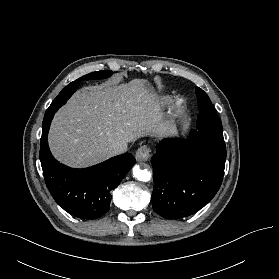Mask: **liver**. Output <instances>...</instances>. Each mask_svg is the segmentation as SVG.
<instances>
[{
	"mask_svg": "<svg viewBox=\"0 0 279 279\" xmlns=\"http://www.w3.org/2000/svg\"><path fill=\"white\" fill-rule=\"evenodd\" d=\"M153 90L143 79L84 87L55 114L48 135L54 157L72 168H85L111 155L114 144L167 132L153 109Z\"/></svg>",
	"mask_w": 279,
	"mask_h": 279,
	"instance_id": "6515ba94",
	"label": "liver"
}]
</instances>
